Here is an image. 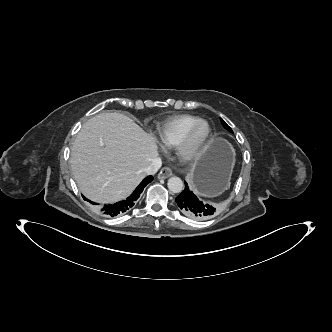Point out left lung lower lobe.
<instances>
[{
    "mask_svg": "<svg viewBox=\"0 0 332 332\" xmlns=\"http://www.w3.org/2000/svg\"><path fill=\"white\" fill-rule=\"evenodd\" d=\"M176 202L181 212L191 219L200 221L208 220L216 213V208L198 199L197 196L189 190L186 182L185 189L176 198Z\"/></svg>",
    "mask_w": 332,
    "mask_h": 332,
    "instance_id": "0a47b994",
    "label": "left lung lower lobe"
}]
</instances>
